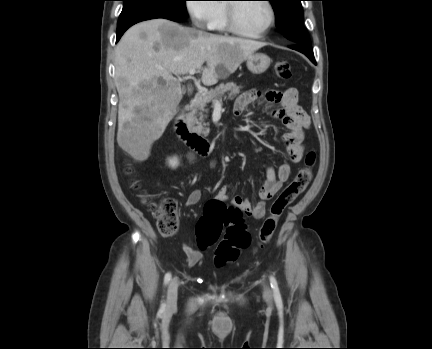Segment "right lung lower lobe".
<instances>
[{
  "label": "right lung lower lobe",
  "mask_w": 432,
  "mask_h": 349,
  "mask_svg": "<svg viewBox=\"0 0 432 349\" xmlns=\"http://www.w3.org/2000/svg\"><path fill=\"white\" fill-rule=\"evenodd\" d=\"M155 18H157V17H144V18H139V19H136V20H133V21L119 25L117 32H116V35H117L116 42L119 41V39L121 38L123 33L132 25H134L138 22H141V21H145V20H149V19H155Z\"/></svg>",
  "instance_id": "1"
}]
</instances>
